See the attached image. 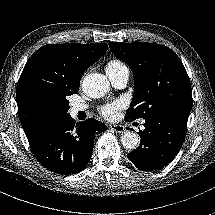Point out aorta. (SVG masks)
<instances>
[{
  "mask_svg": "<svg viewBox=\"0 0 215 215\" xmlns=\"http://www.w3.org/2000/svg\"><path fill=\"white\" fill-rule=\"evenodd\" d=\"M109 81L106 76L100 73L87 75L82 82V89L91 98L103 97L109 89ZM121 143L128 150L136 149L140 144V137L133 131H126L121 136Z\"/></svg>",
  "mask_w": 215,
  "mask_h": 215,
  "instance_id": "obj_1",
  "label": "aorta"
}]
</instances>
